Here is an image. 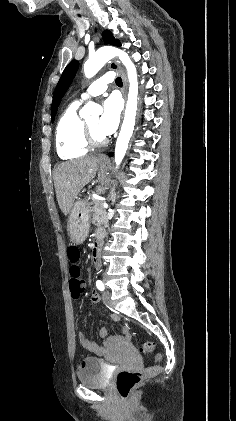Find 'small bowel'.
I'll list each match as a JSON object with an SVG mask.
<instances>
[{"mask_svg": "<svg viewBox=\"0 0 236 421\" xmlns=\"http://www.w3.org/2000/svg\"><path fill=\"white\" fill-rule=\"evenodd\" d=\"M97 300H98V296H97L96 294H93V295H92V301H93V302H96ZM101 335H102V336L106 335V331H105V330H102V331H101Z\"/></svg>", "mask_w": 236, "mask_h": 421, "instance_id": "1", "label": "small bowel"}]
</instances>
